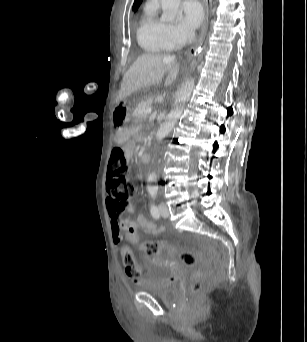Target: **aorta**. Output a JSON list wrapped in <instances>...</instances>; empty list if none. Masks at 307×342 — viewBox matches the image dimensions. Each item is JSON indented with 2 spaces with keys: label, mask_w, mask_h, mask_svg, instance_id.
Instances as JSON below:
<instances>
[{
  "label": "aorta",
  "mask_w": 307,
  "mask_h": 342,
  "mask_svg": "<svg viewBox=\"0 0 307 342\" xmlns=\"http://www.w3.org/2000/svg\"><path fill=\"white\" fill-rule=\"evenodd\" d=\"M180 2L181 0H161L163 12L161 22H175L177 14H180ZM194 86V78H188V80H185L184 84H182L179 92L176 94L174 108L167 114L164 124H161L157 132V138H165L167 134H170L172 128H174V124H176L178 118H180L185 108V104H187L188 100L191 98ZM151 176H155L154 172H152Z\"/></svg>",
  "instance_id": "1"
}]
</instances>
